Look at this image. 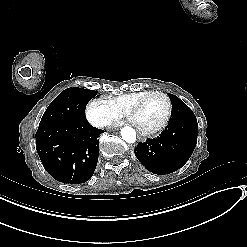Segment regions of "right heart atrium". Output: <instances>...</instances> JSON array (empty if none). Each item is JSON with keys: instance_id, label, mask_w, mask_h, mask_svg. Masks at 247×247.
Segmentation results:
<instances>
[{"instance_id": "d8ad5b80", "label": "right heart atrium", "mask_w": 247, "mask_h": 247, "mask_svg": "<svg viewBox=\"0 0 247 247\" xmlns=\"http://www.w3.org/2000/svg\"><path fill=\"white\" fill-rule=\"evenodd\" d=\"M113 104L107 98H92L86 105L87 120L95 127L109 126L113 121Z\"/></svg>"}]
</instances>
